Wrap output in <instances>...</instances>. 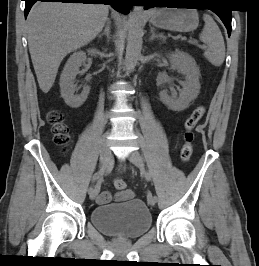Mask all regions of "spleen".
Returning a JSON list of instances; mask_svg holds the SVG:
<instances>
[{
  "label": "spleen",
  "mask_w": 259,
  "mask_h": 266,
  "mask_svg": "<svg viewBox=\"0 0 259 266\" xmlns=\"http://www.w3.org/2000/svg\"><path fill=\"white\" fill-rule=\"evenodd\" d=\"M205 25L200 40L207 45L204 57L214 66L219 67L225 60V44L222 33L213 18L204 14Z\"/></svg>",
  "instance_id": "spleen-1"
}]
</instances>
